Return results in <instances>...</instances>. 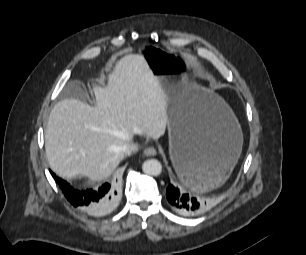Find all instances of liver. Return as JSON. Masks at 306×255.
Returning <instances> with one entry per match:
<instances>
[{"label":"liver","instance_id":"6515ba94","mask_svg":"<svg viewBox=\"0 0 306 255\" xmlns=\"http://www.w3.org/2000/svg\"><path fill=\"white\" fill-rule=\"evenodd\" d=\"M96 103L70 98L51 110L45 130L50 168L65 178H108L124 158L120 148L134 135L158 139L168 126L166 96L141 55L116 62L108 86H94Z\"/></svg>","mask_w":306,"mask_h":255}]
</instances>
